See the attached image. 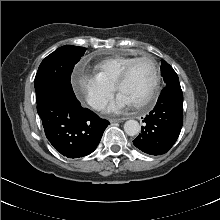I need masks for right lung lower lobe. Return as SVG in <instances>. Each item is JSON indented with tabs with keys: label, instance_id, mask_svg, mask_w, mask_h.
I'll return each mask as SVG.
<instances>
[{
	"label": "right lung lower lobe",
	"instance_id": "obj_1",
	"mask_svg": "<svg viewBox=\"0 0 220 220\" xmlns=\"http://www.w3.org/2000/svg\"><path fill=\"white\" fill-rule=\"evenodd\" d=\"M47 139L63 156L79 158L92 153L110 124L87 108L74 93L58 88L37 101Z\"/></svg>",
	"mask_w": 220,
	"mask_h": 220
}]
</instances>
